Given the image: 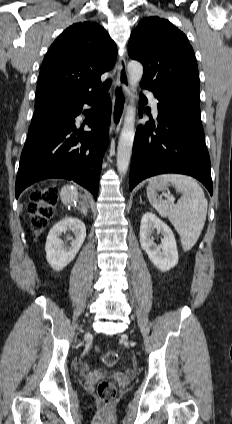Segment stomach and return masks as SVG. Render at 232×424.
Here are the masks:
<instances>
[{
	"label": "stomach",
	"mask_w": 232,
	"mask_h": 424,
	"mask_svg": "<svg viewBox=\"0 0 232 424\" xmlns=\"http://www.w3.org/2000/svg\"><path fill=\"white\" fill-rule=\"evenodd\" d=\"M150 185L153 188V190H164L167 187V181L163 179L153 178L150 181Z\"/></svg>",
	"instance_id": "obj_1"
}]
</instances>
